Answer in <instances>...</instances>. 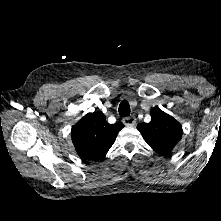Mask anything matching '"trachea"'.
Segmentation results:
<instances>
[{
  "label": "trachea",
  "instance_id": "trachea-1",
  "mask_svg": "<svg viewBox=\"0 0 221 221\" xmlns=\"http://www.w3.org/2000/svg\"><path fill=\"white\" fill-rule=\"evenodd\" d=\"M120 117H125L130 115V105L127 101H122L118 109Z\"/></svg>",
  "mask_w": 221,
  "mask_h": 221
}]
</instances>
